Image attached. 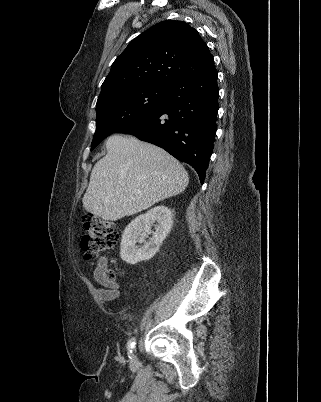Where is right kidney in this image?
<instances>
[{
    "instance_id": "1",
    "label": "right kidney",
    "mask_w": 321,
    "mask_h": 402,
    "mask_svg": "<svg viewBox=\"0 0 321 402\" xmlns=\"http://www.w3.org/2000/svg\"><path fill=\"white\" fill-rule=\"evenodd\" d=\"M155 222L157 224L152 238L148 242L144 241L151 231V224ZM172 226V212L163 205L156 206L147 213L137 216L123 232L120 248L121 259L131 265L151 259L170 233ZM138 242L143 245L138 247Z\"/></svg>"
}]
</instances>
